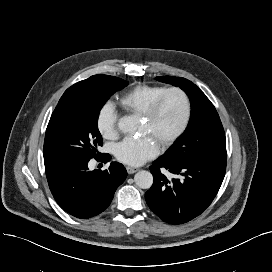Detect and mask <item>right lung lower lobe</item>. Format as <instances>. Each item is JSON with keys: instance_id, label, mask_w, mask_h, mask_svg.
<instances>
[{"instance_id": "obj_1", "label": "right lung lower lobe", "mask_w": 272, "mask_h": 272, "mask_svg": "<svg viewBox=\"0 0 272 272\" xmlns=\"http://www.w3.org/2000/svg\"><path fill=\"white\" fill-rule=\"evenodd\" d=\"M107 162L109 154L95 158ZM90 159H44L50 190L60 207L74 217L86 219L103 212L111 203L116 189L124 182V166L112 162L108 170H88Z\"/></svg>"}]
</instances>
